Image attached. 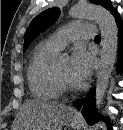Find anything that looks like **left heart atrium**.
Listing matches in <instances>:
<instances>
[{"instance_id": "obj_1", "label": "left heart atrium", "mask_w": 123, "mask_h": 130, "mask_svg": "<svg viewBox=\"0 0 123 130\" xmlns=\"http://www.w3.org/2000/svg\"><path fill=\"white\" fill-rule=\"evenodd\" d=\"M93 65L91 55L83 48L77 47L71 56L69 75L76 86H80L88 78Z\"/></svg>"}]
</instances>
